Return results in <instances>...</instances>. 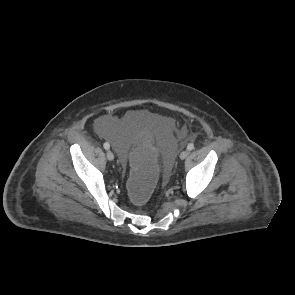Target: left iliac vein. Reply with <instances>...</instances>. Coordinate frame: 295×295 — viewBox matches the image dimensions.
Here are the masks:
<instances>
[{"label": "left iliac vein", "instance_id": "obj_1", "mask_svg": "<svg viewBox=\"0 0 295 295\" xmlns=\"http://www.w3.org/2000/svg\"><path fill=\"white\" fill-rule=\"evenodd\" d=\"M189 152L187 150H184L180 154V159H185L188 156Z\"/></svg>", "mask_w": 295, "mask_h": 295}]
</instances>
